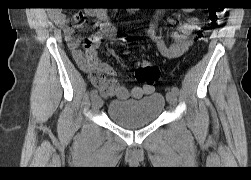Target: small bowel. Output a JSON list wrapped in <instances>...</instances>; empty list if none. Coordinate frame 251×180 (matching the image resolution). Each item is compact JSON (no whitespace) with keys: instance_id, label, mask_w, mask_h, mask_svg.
<instances>
[{"instance_id":"1","label":"small bowel","mask_w":251,"mask_h":180,"mask_svg":"<svg viewBox=\"0 0 251 180\" xmlns=\"http://www.w3.org/2000/svg\"><path fill=\"white\" fill-rule=\"evenodd\" d=\"M86 15L96 19V32L82 42L75 34L70 25L69 18L62 14H55L56 24L63 30L69 50L75 62L89 74L91 83L99 90L104 97H117L119 100H126L129 97L140 99L150 95L154 91L152 85H143L129 90L125 85L118 82L114 77V68L97 57L96 49L101 40L112 37L115 34V27L107 12L102 9H89L84 12ZM163 11H158L148 29V35L155 42L160 54L168 59H173L184 54L192 44L191 34L198 28L199 19L195 16L180 20L177 29L171 34V43L157 33L158 21ZM82 12L74 15V20H79ZM180 19V17L178 16Z\"/></svg>"}]
</instances>
